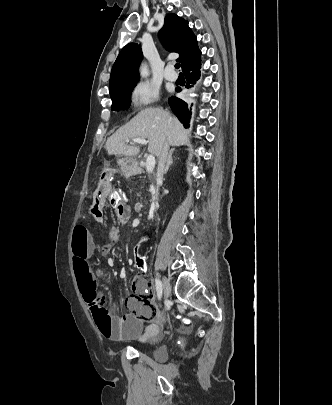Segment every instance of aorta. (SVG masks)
<instances>
[{"label":"aorta","instance_id":"762f6f07","mask_svg":"<svg viewBox=\"0 0 332 405\" xmlns=\"http://www.w3.org/2000/svg\"><path fill=\"white\" fill-rule=\"evenodd\" d=\"M140 74L142 77H146L149 75V69L146 64H141L140 66Z\"/></svg>","mask_w":332,"mask_h":405}]
</instances>
